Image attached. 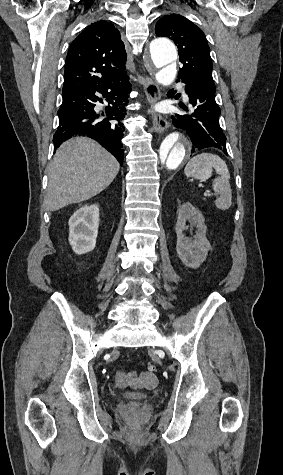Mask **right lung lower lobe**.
I'll return each instance as SVG.
<instances>
[{"instance_id": "right-lung-lower-lobe-1", "label": "right lung lower lobe", "mask_w": 283, "mask_h": 475, "mask_svg": "<svg viewBox=\"0 0 283 475\" xmlns=\"http://www.w3.org/2000/svg\"><path fill=\"white\" fill-rule=\"evenodd\" d=\"M128 76L102 84H85L62 91L58 110L59 126L53 137L54 149L75 136H87L99 142L123 164L121 139L125 131L121 121L128 103L131 84ZM97 92L104 98L98 97ZM110 104L103 113L95 111V103ZM105 116V118H102Z\"/></svg>"}]
</instances>
